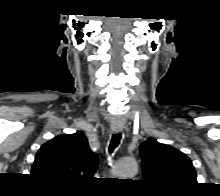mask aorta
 Here are the masks:
<instances>
[{
  "instance_id": "aorta-1",
  "label": "aorta",
  "mask_w": 220,
  "mask_h": 196,
  "mask_svg": "<svg viewBox=\"0 0 220 196\" xmlns=\"http://www.w3.org/2000/svg\"><path fill=\"white\" fill-rule=\"evenodd\" d=\"M138 169L137 163L133 159H123L116 163L114 167V171L117 176L124 177H132L136 174Z\"/></svg>"
}]
</instances>
